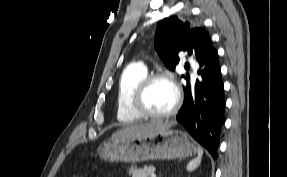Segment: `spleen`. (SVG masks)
I'll list each match as a JSON object with an SVG mask.
<instances>
[{"label":"spleen","instance_id":"3e777b00","mask_svg":"<svg viewBox=\"0 0 287 177\" xmlns=\"http://www.w3.org/2000/svg\"><path fill=\"white\" fill-rule=\"evenodd\" d=\"M202 156H203V150L199 148L198 149V156L188 163L187 170L188 171H194L200 165Z\"/></svg>","mask_w":287,"mask_h":177}]
</instances>
